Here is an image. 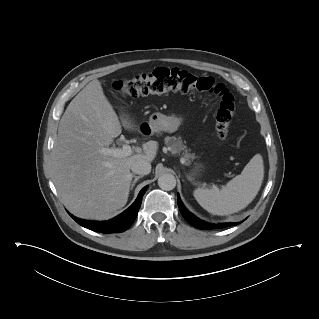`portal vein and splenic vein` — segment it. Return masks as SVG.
Returning a JSON list of instances; mask_svg holds the SVG:
<instances>
[{"instance_id": "18ae733b", "label": "portal vein and splenic vein", "mask_w": 319, "mask_h": 319, "mask_svg": "<svg viewBox=\"0 0 319 319\" xmlns=\"http://www.w3.org/2000/svg\"><path fill=\"white\" fill-rule=\"evenodd\" d=\"M100 152L115 158H122L130 156L133 153V150L130 145L124 144L122 148H102Z\"/></svg>"}]
</instances>
